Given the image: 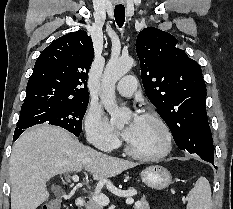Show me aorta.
Here are the masks:
<instances>
[{
    "label": "aorta",
    "instance_id": "obj_1",
    "mask_svg": "<svg viewBox=\"0 0 233 209\" xmlns=\"http://www.w3.org/2000/svg\"><path fill=\"white\" fill-rule=\"evenodd\" d=\"M133 59L119 58L111 59L104 70L101 82V102L111 116V120L118 128L123 127L130 117V111L127 108H119L116 104L115 85L117 81L124 76L133 66Z\"/></svg>",
    "mask_w": 233,
    "mask_h": 209
}]
</instances>
